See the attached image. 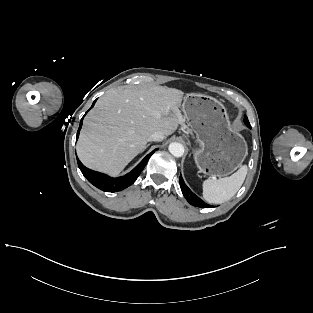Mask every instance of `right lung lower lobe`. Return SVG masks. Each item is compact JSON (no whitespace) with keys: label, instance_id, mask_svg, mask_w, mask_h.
I'll use <instances>...</instances> for the list:
<instances>
[{"label":"right lung lower lobe","instance_id":"98d812e1","mask_svg":"<svg viewBox=\"0 0 313 313\" xmlns=\"http://www.w3.org/2000/svg\"><path fill=\"white\" fill-rule=\"evenodd\" d=\"M95 102L96 100L93 102L91 108L94 106ZM82 120L83 118L81 119V122H80L76 140L78 139L79 132L82 127ZM156 150L157 149L149 153L131 172L118 178H112L103 173H99L91 169H88L79 161L78 158H77V162H78V166L82 174L86 177V179L91 184H93L95 187L106 192H117V191L127 188L128 186L132 185L136 181V179L138 178V176L144 169L147 161Z\"/></svg>","mask_w":313,"mask_h":313}]
</instances>
